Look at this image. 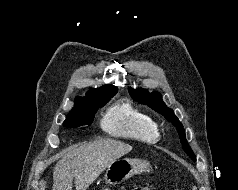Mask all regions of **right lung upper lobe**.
<instances>
[{
  "label": "right lung upper lobe",
  "mask_w": 238,
  "mask_h": 190,
  "mask_svg": "<svg viewBox=\"0 0 238 190\" xmlns=\"http://www.w3.org/2000/svg\"><path fill=\"white\" fill-rule=\"evenodd\" d=\"M116 91H117V88L111 84L104 86V87L91 89L89 92H87L86 97H77L76 98L74 108L82 107L84 105L85 100H87V99L93 98L98 95L113 93Z\"/></svg>",
  "instance_id": "1"
}]
</instances>
